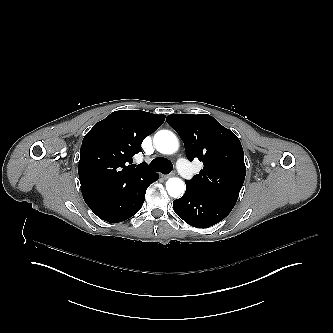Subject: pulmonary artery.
<instances>
[{"label": "pulmonary artery", "mask_w": 333, "mask_h": 333, "mask_svg": "<svg viewBox=\"0 0 333 333\" xmlns=\"http://www.w3.org/2000/svg\"><path fill=\"white\" fill-rule=\"evenodd\" d=\"M176 162H177L175 165L176 170L181 172L182 176H186V179L188 181H194L195 175L192 174L193 167L186 162V159L183 158L182 156H177Z\"/></svg>", "instance_id": "pulmonary-artery-1"}]
</instances>
